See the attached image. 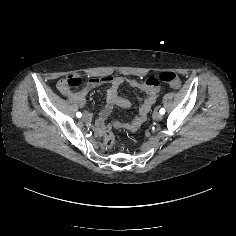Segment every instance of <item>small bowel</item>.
<instances>
[{"label":"small bowel","instance_id":"obj_1","mask_svg":"<svg viewBox=\"0 0 236 236\" xmlns=\"http://www.w3.org/2000/svg\"><path fill=\"white\" fill-rule=\"evenodd\" d=\"M103 80H106L105 78L104 79H92L89 81L86 89H84L83 91H80V92H72L66 85H65V80H60L58 82V89L64 94V95H67V96H70V97H73V96H78V97H82L84 99L86 93L94 88L95 86L99 85ZM154 102V96L152 97V99H150L146 105L144 107L141 108V115L142 117L148 112V110L150 109L151 105L153 104ZM125 103H126V106L124 107H127L129 105V102L127 100H125ZM142 117L138 118L135 122L136 125H139L141 122H142ZM102 124V122H101Z\"/></svg>","mask_w":236,"mask_h":236}]
</instances>
